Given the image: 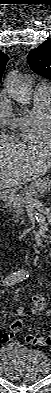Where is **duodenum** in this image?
Masks as SVG:
<instances>
[{
	"mask_svg": "<svg viewBox=\"0 0 51 393\" xmlns=\"http://www.w3.org/2000/svg\"><path fill=\"white\" fill-rule=\"evenodd\" d=\"M1 198H2V200L6 201V200L9 199V195L6 192H2L1 193Z\"/></svg>",
	"mask_w": 51,
	"mask_h": 393,
	"instance_id": "1",
	"label": "duodenum"
}]
</instances>
